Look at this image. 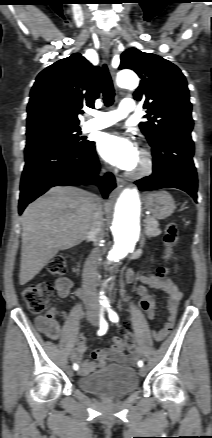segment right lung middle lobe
I'll list each match as a JSON object with an SVG mask.
<instances>
[{"instance_id":"1","label":"right lung middle lobe","mask_w":212,"mask_h":438,"mask_svg":"<svg viewBox=\"0 0 212 438\" xmlns=\"http://www.w3.org/2000/svg\"><path fill=\"white\" fill-rule=\"evenodd\" d=\"M27 142L36 140H52L67 145L83 146L89 141H80V128L62 125H46L28 129Z\"/></svg>"}]
</instances>
